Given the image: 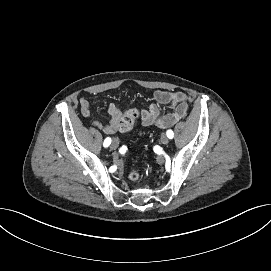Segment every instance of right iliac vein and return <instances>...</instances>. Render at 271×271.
Masks as SVG:
<instances>
[{
  "instance_id": "right-iliac-vein-1",
  "label": "right iliac vein",
  "mask_w": 271,
  "mask_h": 271,
  "mask_svg": "<svg viewBox=\"0 0 271 271\" xmlns=\"http://www.w3.org/2000/svg\"><path fill=\"white\" fill-rule=\"evenodd\" d=\"M119 147V142L116 139H113L111 142V149L116 150Z\"/></svg>"
}]
</instances>
